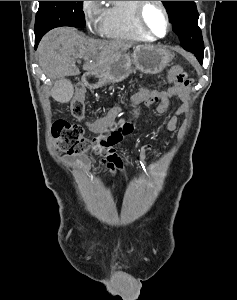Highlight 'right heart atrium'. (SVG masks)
<instances>
[{
	"mask_svg": "<svg viewBox=\"0 0 237 300\" xmlns=\"http://www.w3.org/2000/svg\"><path fill=\"white\" fill-rule=\"evenodd\" d=\"M81 9L88 27L92 30H100L105 12L101 1H82Z\"/></svg>",
	"mask_w": 237,
	"mask_h": 300,
	"instance_id": "1",
	"label": "right heart atrium"
}]
</instances>
